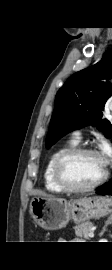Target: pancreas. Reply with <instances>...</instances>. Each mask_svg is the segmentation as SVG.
Instances as JSON below:
<instances>
[{"label":"pancreas","instance_id":"pancreas-1","mask_svg":"<svg viewBox=\"0 0 112 270\" xmlns=\"http://www.w3.org/2000/svg\"><path fill=\"white\" fill-rule=\"evenodd\" d=\"M93 223L86 221L81 225L74 226L75 234L79 239H88L89 233L92 231Z\"/></svg>","mask_w":112,"mask_h":270}]
</instances>
